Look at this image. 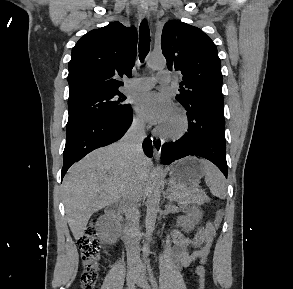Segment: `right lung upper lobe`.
<instances>
[{
  "label": "right lung upper lobe",
  "instance_id": "right-lung-upper-lobe-1",
  "mask_svg": "<svg viewBox=\"0 0 293 289\" xmlns=\"http://www.w3.org/2000/svg\"><path fill=\"white\" fill-rule=\"evenodd\" d=\"M137 53V32L120 22L92 30L72 49L68 65L69 99L119 92L120 78L131 77Z\"/></svg>",
  "mask_w": 293,
  "mask_h": 289
}]
</instances>
